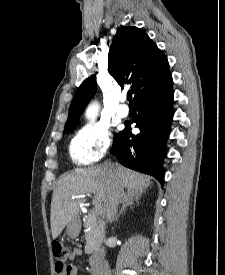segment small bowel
Here are the masks:
<instances>
[{
  "mask_svg": "<svg viewBox=\"0 0 225 275\" xmlns=\"http://www.w3.org/2000/svg\"><path fill=\"white\" fill-rule=\"evenodd\" d=\"M82 251L80 248H75L69 256V264L67 265V272L64 275H76L77 274V266L75 261L81 256Z\"/></svg>",
  "mask_w": 225,
  "mask_h": 275,
  "instance_id": "small-bowel-1",
  "label": "small bowel"
}]
</instances>
